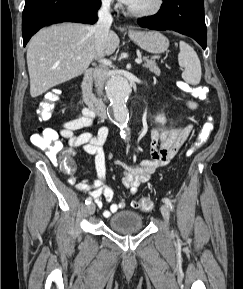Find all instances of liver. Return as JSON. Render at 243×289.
Masks as SVG:
<instances>
[{
    "instance_id": "1",
    "label": "liver",
    "mask_w": 243,
    "mask_h": 289,
    "mask_svg": "<svg viewBox=\"0 0 243 289\" xmlns=\"http://www.w3.org/2000/svg\"><path fill=\"white\" fill-rule=\"evenodd\" d=\"M119 43V37L110 31L104 55L113 54ZM94 58H98L94 26L62 23L41 29L27 47L31 97L80 76Z\"/></svg>"
}]
</instances>
